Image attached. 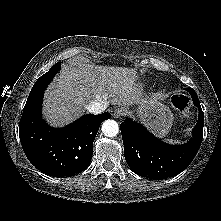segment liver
<instances>
[{
    "instance_id": "liver-1",
    "label": "liver",
    "mask_w": 221,
    "mask_h": 221,
    "mask_svg": "<svg viewBox=\"0 0 221 221\" xmlns=\"http://www.w3.org/2000/svg\"><path fill=\"white\" fill-rule=\"evenodd\" d=\"M136 71L125 67L96 66L81 62L64 65L44 96L43 114L52 126L78 118L89 103L130 106L145 100L135 87Z\"/></svg>"
}]
</instances>
